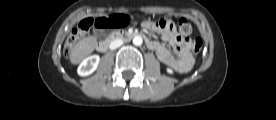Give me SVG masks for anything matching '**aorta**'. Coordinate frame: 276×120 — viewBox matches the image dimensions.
Segmentation results:
<instances>
[{
  "label": "aorta",
  "mask_w": 276,
  "mask_h": 120,
  "mask_svg": "<svg viewBox=\"0 0 276 120\" xmlns=\"http://www.w3.org/2000/svg\"><path fill=\"white\" fill-rule=\"evenodd\" d=\"M142 43H143V39H142V37L141 36H135L134 38H133V44L135 45V46H141L142 45Z\"/></svg>",
  "instance_id": "762f6f07"
}]
</instances>
